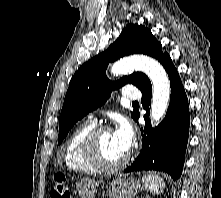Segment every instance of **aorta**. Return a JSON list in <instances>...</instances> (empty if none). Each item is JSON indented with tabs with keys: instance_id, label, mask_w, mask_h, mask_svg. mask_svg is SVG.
I'll use <instances>...</instances> for the list:
<instances>
[{
	"instance_id": "762f6f07",
	"label": "aorta",
	"mask_w": 221,
	"mask_h": 198,
	"mask_svg": "<svg viewBox=\"0 0 221 198\" xmlns=\"http://www.w3.org/2000/svg\"><path fill=\"white\" fill-rule=\"evenodd\" d=\"M134 69L144 72L152 82L153 94L150 115L152 121L157 123L165 114L169 103L170 83L167 73L160 63L143 55L132 56L114 63L111 73L121 75Z\"/></svg>"
}]
</instances>
